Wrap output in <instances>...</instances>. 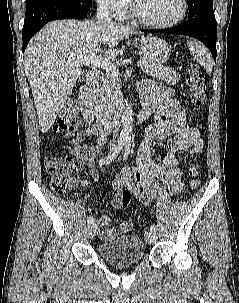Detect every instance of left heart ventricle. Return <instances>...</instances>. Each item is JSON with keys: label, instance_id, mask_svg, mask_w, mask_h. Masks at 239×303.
Here are the masks:
<instances>
[{"label": "left heart ventricle", "instance_id": "left-heart-ventricle-1", "mask_svg": "<svg viewBox=\"0 0 239 303\" xmlns=\"http://www.w3.org/2000/svg\"><path fill=\"white\" fill-rule=\"evenodd\" d=\"M141 15L154 22H166L181 11L180 0H134Z\"/></svg>", "mask_w": 239, "mask_h": 303}]
</instances>
